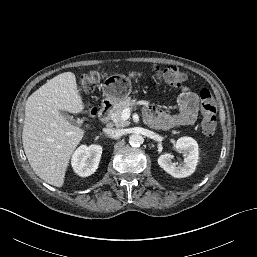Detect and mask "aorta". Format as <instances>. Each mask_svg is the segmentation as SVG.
<instances>
[{"label":"aorta","instance_id":"obj_1","mask_svg":"<svg viewBox=\"0 0 257 257\" xmlns=\"http://www.w3.org/2000/svg\"><path fill=\"white\" fill-rule=\"evenodd\" d=\"M129 143L133 147H138L143 143V137L140 134H132L129 137Z\"/></svg>","mask_w":257,"mask_h":257}]
</instances>
